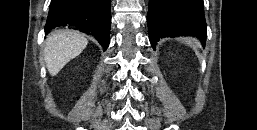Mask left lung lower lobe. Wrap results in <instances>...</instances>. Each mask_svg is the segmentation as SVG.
<instances>
[{"label":"left lung lower lobe","instance_id":"0a47b994","mask_svg":"<svg viewBox=\"0 0 257 130\" xmlns=\"http://www.w3.org/2000/svg\"><path fill=\"white\" fill-rule=\"evenodd\" d=\"M149 39L155 50L163 37L196 36L206 41L203 0H149L147 14Z\"/></svg>","mask_w":257,"mask_h":130}]
</instances>
